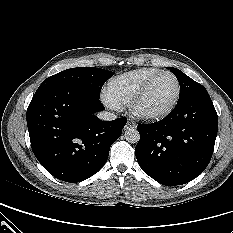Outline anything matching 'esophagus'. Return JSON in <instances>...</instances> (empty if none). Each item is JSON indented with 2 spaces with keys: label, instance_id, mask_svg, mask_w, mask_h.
Listing matches in <instances>:
<instances>
[{
  "label": "esophagus",
  "instance_id": "obj_1",
  "mask_svg": "<svg viewBox=\"0 0 233 233\" xmlns=\"http://www.w3.org/2000/svg\"><path fill=\"white\" fill-rule=\"evenodd\" d=\"M136 125L134 122L132 121H128L127 124L125 125V129H130V128H134Z\"/></svg>",
  "mask_w": 233,
  "mask_h": 233
}]
</instances>
